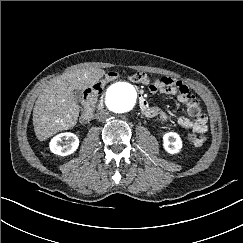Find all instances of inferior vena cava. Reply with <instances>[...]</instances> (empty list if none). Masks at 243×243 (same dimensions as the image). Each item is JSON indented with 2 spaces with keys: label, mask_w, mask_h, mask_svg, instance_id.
Listing matches in <instances>:
<instances>
[{
  "label": "inferior vena cava",
  "mask_w": 243,
  "mask_h": 243,
  "mask_svg": "<svg viewBox=\"0 0 243 243\" xmlns=\"http://www.w3.org/2000/svg\"><path fill=\"white\" fill-rule=\"evenodd\" d=\"M95 117L98 121H103L105 119H107L109 117V112L105 109H102V110H98L96 113H95Z\"/></svg>",
  "instance_id": "obj_1"
}]
</instances>
